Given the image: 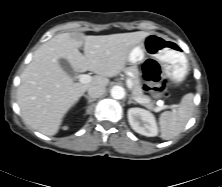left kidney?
Here are the masks:
<instances>
[{
  "mask_svg": "<svg viewBox=\"0 0 222 187\" xmlns=\"http://www.w3.org/2000/svg\"><path fill=\"white\" fill-rule=\"evenodd\" d=\"M128 121L132 129L144 136L158 135V127L154 115L142 108L128 109Z\"/></svg>",
  "mask_w": 222,
  "mask_h": 187,
  "instance_id": "5707ae66",
  "label": "left kidney"
}]
</instances>
